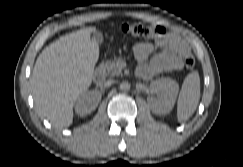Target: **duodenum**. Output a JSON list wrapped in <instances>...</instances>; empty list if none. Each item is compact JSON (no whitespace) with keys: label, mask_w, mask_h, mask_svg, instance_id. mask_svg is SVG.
Masks as SVG:
<instances>
[{"label":"duodenum","mask_w":243,"mask_h":167,"mask_svg":"<svg viewBox=\"0 0 243 167\" xmlns=\"http://www.w3.org/2000/svg\"><path fill=\"white\" fill-rule=\"evenodd\" d=\"M93 80L97 83H101L104 80V72L101 67H97L94 69L92 73Z\"/></svg>","instance_id":"1"}]
</instances>
